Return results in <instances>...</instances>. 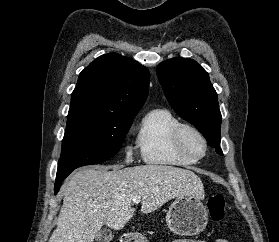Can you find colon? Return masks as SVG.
I'll return each instance as SVG.
<instances>
[{"instance_id":"1","label":"colon","mask_w":279,"mask_h":242,"mask_svg":"<svg viewBox=\"0 0 279 242\" xmlns=\"http://www.w3.org/2000/svg\"><path fill=\"white\" fill-rule=\"evenodd\" d=\"M208 212L210 218L214 221H221L225 215V201L221 194H215L209 197Z\"/></svg>"}]
</instances>
